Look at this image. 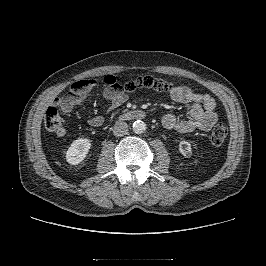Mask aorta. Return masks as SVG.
<instances>
[{
    "instance_id": "1",
    "label": "aorta",
    "mask_w": 266,
    "mask_h": 266,
    "mask_svg": "<svg viewBox=\"0 0 266 266\" xmlns=\"http://www.w3.org/2000/svg\"><path fill=\"white\" fill-rule=\"evenodd\" d=\"M132 129L134 133L142 134L146 130V124L141 120H137L133 123Z\"/></svg>"
}]
</instances>
